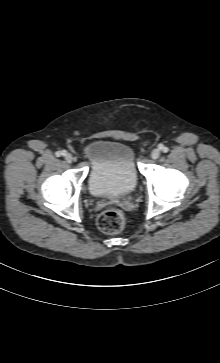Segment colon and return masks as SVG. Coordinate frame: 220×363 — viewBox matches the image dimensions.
<instances>
[{"mask_svg": "<svg viewBox=\"0 0 220 363\" xmlns=\"http://www.w3.org/2000/svg\"><path fill=\"white\" fill-rule=\"evenodd\" d=\"M98 227L105 233L116 234L127 225L124 214L117 209H106L97 218Z\"/></svg>", "mask_w": 220, "mask_h": 363, "instance_id": "obj_1", "label": "colon"}]
</instances>
